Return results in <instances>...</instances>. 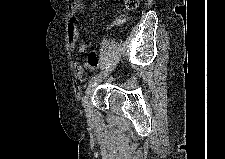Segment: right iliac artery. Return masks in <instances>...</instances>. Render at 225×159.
Listing matches in <instances>:
<instances>
[{"mask_svg":"<svg viewBox=\"0 0 225 159\" xmlns=\"http://www.w3.org/2000/svg\"><path fill=\"white\" fill-rule=\"evenodd\" d=\"M114 65H116V63H113L112 66H114ZM109 70H111V69H109V67H107L106 70H105L104 72H101L100 74H98V75L92 77L91 80L89 81V86L94 85L95 82H96V80H97V78L100 77V76H102L103 74H107V72H108Z\"/></svg>","mask_w":225,"mask_h":159,"instance_id":"right-iliac-artery-1","label":"right iliac artery"}]
</instances>
